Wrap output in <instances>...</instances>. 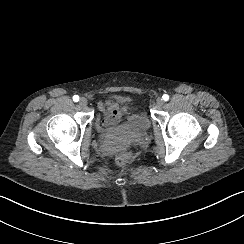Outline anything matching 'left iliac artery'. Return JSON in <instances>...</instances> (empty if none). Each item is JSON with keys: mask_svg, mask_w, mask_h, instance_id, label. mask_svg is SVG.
I'll list each match as a JSON object with an SVG mask.
<instances>
[{"mask_svg": "<svg viewBox=\"0 0 244 244\" xmlns=\"http://www.w3.org/2000/svg\"><path fill=\"white\" fill-rule=\"evenodd\" d=\"M162 98H163L164 101H168L169 100V96L167 94H164L162 96Z\"/></svg>", "mask_w": 244, "mask_h": 244, "instance_id": "obj_1", "label": "left iliac artery"}]
</instances>
